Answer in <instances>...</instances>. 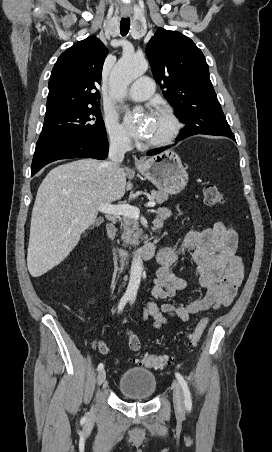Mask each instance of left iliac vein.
<instances>
[{"mask_svg":"<svg viewBox=\"0 0 272 452\" xmlns=\"http://www.w3.org/2000/svg\"><path fill=\"white\" fill-rule=\"evenodd\" d=\"M172 390L175 410L182 415L185 412L184 396L181 386L176 380L172 381Z\"/></svg>","mask_w":272,"mask_h":452,"instance_id":"4c4485c4","label":"left iliac vein"}]
</instances>
